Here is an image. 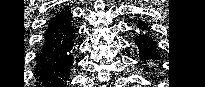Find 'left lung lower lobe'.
I'll return each mask as SVG.
<instances>
[{
  "label": "left lung lower lobe",
  "instance_id": "0a47b994",
  "mask_svg": "<svg viewBox=\"0 0 205 87\" xmlns=\"http://www.w3.org/2000/svg\"><path fill=\"white\" fill-rule=\"evenodd\" d=\"M136 26L141 30L140 34L134 38L139 48V56L142 62L158 60L157 47L153 38L148 34V25L143 21H138Z\"/></svg>",
  "mask_w": 205,
  "mask_h": 87
}]
</instances>
